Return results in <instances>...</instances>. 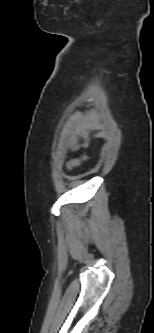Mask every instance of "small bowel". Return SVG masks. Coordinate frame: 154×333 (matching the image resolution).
Instances as JSON below:
<instances>
[{
	"label": "small bowel",
	"instance_id": "obj_1",
	"mask_svg": "<svg viewBox=\"0 0 154 333\" xmlns=\"http://www.w3.org/2000/svg\"><path fill=\"white\" fill-rule=\"evenodd\" d=\"M76 164H78V160H73L69 163V167L75 166Z\"/></svg>",
	"mask_w": 154,
	"mask_h": 333
}]
</instances>
